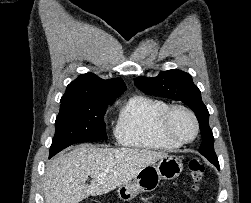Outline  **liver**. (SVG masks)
Returning <instances> with one entry per match:
<instances>
[{"label":"liver","instance_id":"1","mask_svg":"<svg viewBox=\"0 0 251 203\" xmlns=\"http://www.w3.org/2000/svg\"><path fill=\"white\" fill-rule=\"evenodd\" d=\"M166 156L165 152L150 149L80 145L55 156L47 165L43 185L45 203H79L89 196L106 194ZM89 176L92 180L88 185L85 182Z\"/></svg>","mask_w":251,"mask_h":203}]
</instances>
